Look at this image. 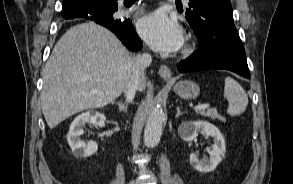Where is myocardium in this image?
Masks as SVG:
<instances>
[{
  "label": "myocardium",
  "instance_id": "myocardium-1",
  "mask_svg": "<svg viewBox=\"0 0 293 184\" xmlns=\"http://www.w3.org/2000/svg\"><path fill=\"white\" fill-rule=\"evenodd\" d=\"M194 49H195L194 44L192 42H188L182 51L183 56L184 57L190 56L194 52Z\"/></svg>",
  "mask_w": 293,
  "mask_h": 184
}]
</instances>
